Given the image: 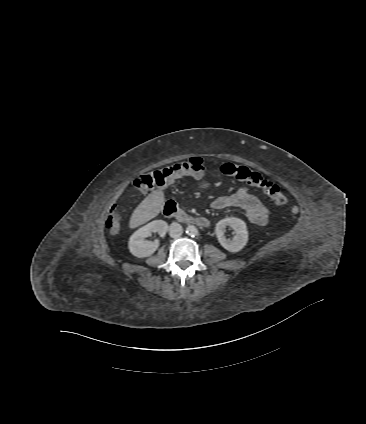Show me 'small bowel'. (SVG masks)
<instances>
[{
	"label": "small bowel",
	"mask_w": 366,
	"mask_h": 424,
	"mask_svg": "<svg viewBox=\"0 0 366 424\" xmlns=\"http://www.w3.org/2000/svg\"><path fill=\"white\" fill-rule=\"evenodd\" d=\"M212 206L218 210L229 207L240 208L253 224L264 226L268 223V207L251 194L247 187H241L235 193L217 197Z\"/></svg>",
	"instance_id": "c3829d8e"
}]
</instances>
